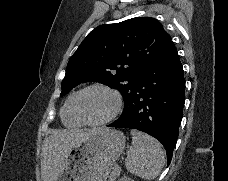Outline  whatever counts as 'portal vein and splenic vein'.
Instances as JSON below:
<instances>
[{
  "mask_svg": "<svg viewBox=\"0 0 228 181\" xmlns=\"http://www.w3.org/2000/svg\"><path fill=\"white\" fill-rule=\"evenodd\" d=\"M114 167L117 169L119 166L116 164ZM119 169L121 170L122 168L120 167Z\"/></svg>",
  "mask_w": 228,
  "mask_h": 181,
  "instance_id": "18ae733b",
  "label": "portal vein and splenic vein"
}]
</instances>
